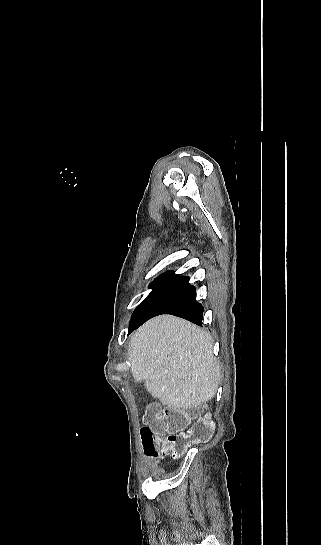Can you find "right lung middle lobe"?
<instances>
[{
	"label": "right lung middle lobe",
	"instance_id": "obj_1",
	"mask_svg": "<svg viewBox=\"0 0 321 545\" xmlns=\"http://www.w3.org/2000/svg\"><path fill=\"white\" fill-rule=\"evenodd\" d=\"M173 274V271H167L166 273L158 276L153 282L150 283L149 288L152 289L150 294L138 305L132 315L131 320L137 318L141 312L147 307L154 295L158 292L161 286L168 280V278Z\"/></svg>",
	"mask_w": 321,
	"mask_h": 545
}]
</instances>
